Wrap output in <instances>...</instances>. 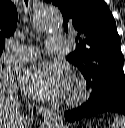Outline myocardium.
I'll return each instance as SVG.
<instances>
[{"instance_id":"myocardium-1","label":"myocardium","mask_w":125,"mask_h":128,"mask_svg":"<svg viewBox=\"0 0 125 128\" xmlns=\"http://www.w3.org/2000/svg\"><path fill=\"white\" fill-rule=\"evenodd\" d=\"M89 94L88 87L85 83H78L74 86L70 97L69 103L71 105H76L83 102Z\"/></svg>"}]
</instances>
